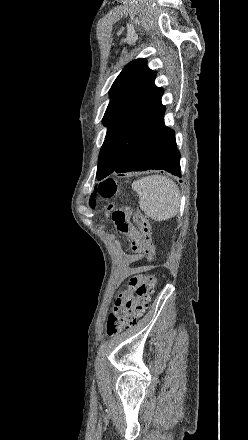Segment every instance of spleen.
I'll use <instances>...</instances> for the list:
<instances>
[{
    "instance_id": "3e777b00",
    "label": "spleen",
    "mask_w": 248,
    "mask_h": 440,
    "mask_svg": "<svg viewBox=\"0 0 248 440\" xmlns=\"http://www.w3.org/2000/svg\"><path fill=\"white\" fill-rule=\"evenodd\" d=\"M139 206L154 221L168 220L179 212L180 191L170 178L161 175L143 177L132 184Z\"/></svg>"
}]
</instances>
